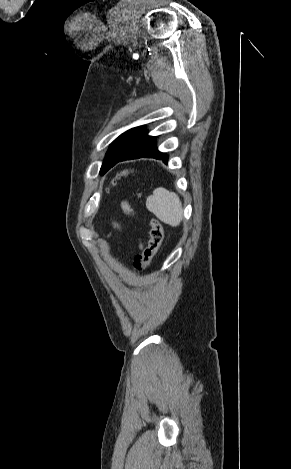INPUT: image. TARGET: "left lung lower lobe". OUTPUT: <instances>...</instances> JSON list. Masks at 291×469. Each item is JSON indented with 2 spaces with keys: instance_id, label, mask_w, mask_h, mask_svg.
<instances>
[{
  "instance_id": "obj_1",
  "label": "left lung lower lobe",
  "mask_w": 291,
  "mask_h": 469,
  "mask_svg": "<svg viewBox=\"0 0 291 469\" xmlns=\"http://www.w3.org/2000/svg\"><path fill=\"white\" fill-rule=\"evenodd\" d=\"M141 157L161 159L164 162L168 161V156L160 151L155 146V137L146 136L139 143L128 150L124 155L119 157L115 164L124 160H132Z\"/></svg>"
}]
</instances>
